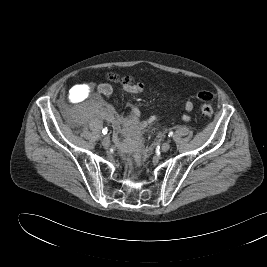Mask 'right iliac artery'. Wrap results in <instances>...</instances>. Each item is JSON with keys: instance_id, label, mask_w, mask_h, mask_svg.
Wrapping results in <instances>:
<instances>
[{"instance_id": "1", "label": "right iliac artery", "mask_w": 267, "mask_h": 267, "mask_svg": "<svg viewBox=\"0 0 267 267\" xmlns=\"http://www.w3.org/2000/svg\"><path fill=\"white\" fill-rule=\"evenodd\" d=\"M107 132H108V129H107V128H104V129L102 130V133H103V134H107Z\"/></svg>"}]
</instances>
